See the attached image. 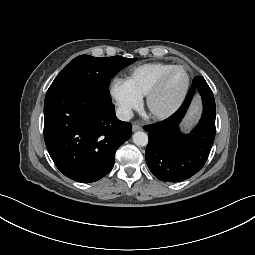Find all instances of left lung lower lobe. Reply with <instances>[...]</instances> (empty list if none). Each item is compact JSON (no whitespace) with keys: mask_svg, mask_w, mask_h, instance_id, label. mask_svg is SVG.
Returning <instances> with one entry per match:
<instances>
[{"mask_svg":"<svg viewBox=\"0 0 255 255\" xmlns=\"http://www.w3.org/2000/svg\"><path fill=\"white\" fill-rule=\"evenodd\" d=\"M199 92L203 114L197 127L188 135L179 130L191 99ZM215 100L205 79L196 76L183 105L168 119L145 126L149 142L145 159L159 180L180 182L190 178L204 166L215 138Z\"/></svg>","mask_w":255,"mask_h":255,"instance_id":"left-lung-lower-lobe-1","label":"left lung lower lobe"}]
</instances>
